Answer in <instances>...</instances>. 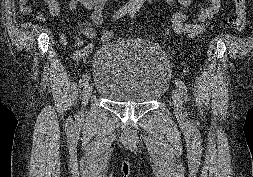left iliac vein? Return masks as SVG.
<instances>
[{
  "instance_id": "obj_1",
  "label": "left iliac vein",
  "mask_w": 253,
  "mask_h": 177,
  "mask_svg": "<svg viewBox=\"0 0 253 177\" xmlns=\"http://www.w3.org/2000/svg\"><path fill=\"white\" fill-rule=\"evenodd\" d=\"M172 99H173V102H174L176 115L178 117H183V106H182L183 100H182V97L180 95V92L177 89H173Z\"/></svg>"
}]
</instances>
